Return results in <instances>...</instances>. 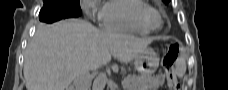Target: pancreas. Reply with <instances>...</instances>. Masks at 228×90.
Wrapping results in <instances>:
<instances>
[{
  "label": "pancreas",
  "instance_id": "pancreas-1",
  "mask_svg": "<svg viewBox=\"0 0 228 90\" xmlns=\"http://www.w3.org/2000/svg\"><path fill=\"white\" fill-rule=\"evenodd\" d=\"M126 90H156L162 86L163 80L153 77L129 75L124 79Z\"/></svg>",
  "mask_w": 228,
  "mask_h": 90
}]
</instances>
